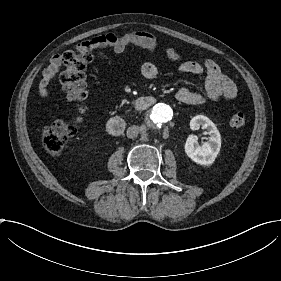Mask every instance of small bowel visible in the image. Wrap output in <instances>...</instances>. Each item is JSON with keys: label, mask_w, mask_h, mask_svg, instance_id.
Wrapping results in <instances>:
<instances>
[{"label": "small bowel", "mask_w": 281, "mask_h": 281, "mask_svg": "<svg viewBox=\"0 0 281 281\" xmlns=\"http://www.w3.org/2000/svg\"><path fill=\"white\" fill-rule=\"evenodd\" d=\"M111 47L115 52H124L130 46L144 47L148 51L157 48L156 38L145 31H131L126 33H109L103 37L101 43ZM166 55L178 63V70L184 74H201L206 72V82L203 90L191 91L180 88L176 92V99L182 104H203L207 102H217L221 99L232 101L237 97V90L234 82L228 78L210 58H204L200 63L192 61H182V54L173 49L166 48ZM65 58L61 54L54 55L44 70L41 79L40 95L47 98L50 94L47 85L55 79L59 71L63 68ZM142 74L150 80L158 77V67L152 62H145L141 66Z\"/></svg>", "instance_id": "c3829d8e"}]
</instances>
